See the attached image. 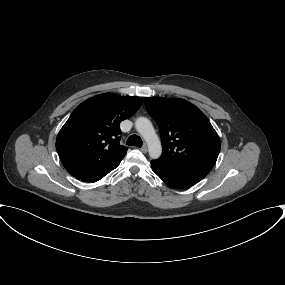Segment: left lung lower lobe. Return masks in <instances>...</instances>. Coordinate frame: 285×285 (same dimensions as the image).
<instances>
[{"label": "left lung lower lobe", "mask_w": 285, "mask_h": 285, "mask_svg": "<svg viewBox=\"0 0 285 285\" xmlns=\"http://www.w3.org/2000/svg\"><path fill=\"white\" fill-rule=\"evenodd\" d=\"M151 166L164 183L178 189L191 187L207 175L194 168L169 164L161 159L153 160Z\"/></svg>", "instance_id": "left-lung-lower-lobe-1"}]
</instances>
